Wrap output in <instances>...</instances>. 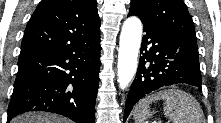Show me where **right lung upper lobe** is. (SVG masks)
Returning <instances> with one entry per match:
<instances>
[{
	"label": "right lung upper lobe",
	"instance_id": "right-lung-upper-lobe-1",
	"mask_svg": "<svg viewBox=\"0 0 221 123\" xmlns=\"http://www.w3.org/2000/svg\"><path fill=\"white\" fill-rule=\"evenodd\" d=\"M98 35L96 0H42L27 24L20 55L62 49Z\"/></svg>",
	"mask_w": 221,
	"mask_h": 123
}]
</instances>
